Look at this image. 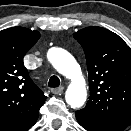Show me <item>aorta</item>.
Masks as SVG:
<instances>
[{"label": "aorta", "instance_id": "1", "mask_svg": "<svg viewBox=\"0 0 131 131\" xmlns=\"http://www.w3.org/2000/svg\"><path fill=\"white\" fill-rule=\"evenodd\" d=\"M48 59L53 67L62 75L71 80L67 88L65 99L72 108L81 107L87 97L85 80L76 60L64 49L51 48Z\"/></svg>", "mask_w": 131, "mask_h": 131}]
</instances>
